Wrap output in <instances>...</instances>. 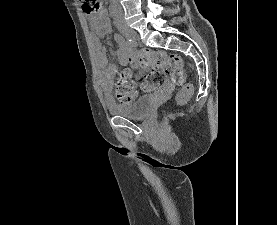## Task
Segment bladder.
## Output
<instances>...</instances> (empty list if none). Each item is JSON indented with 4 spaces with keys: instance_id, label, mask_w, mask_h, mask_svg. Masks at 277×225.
Wrapping results in <instances>:
<instances>
[{
    "instance_id": "31cf9c89",
    "label": "bladder",
    "mask_w": 277,
    "mask_h": 225,
    "mask_svg": "<svg viewBox=\"0 0 277 225\" xmlns=\"http://www.w3.org/2000/svg\"><path fill=\"white\" fill-rule=\"evenodd\" d=\"M110 113L129 119H141L147 116L153 109V97L151 94H143L130 102H117L107 104Z\"/></svg>"
}]
</instances>
